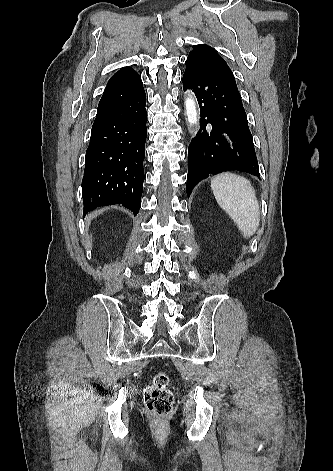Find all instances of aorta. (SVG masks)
<instances>
[{
    "instance_id": "aorta-1",
    "label": "aorta",
    "mask_w": 333,
    "mask_h": 471,
    "mask_svg": "<svg viewBox=\"0 0 333 471\" xmlns=\"http://www.w3.org/2000/svg\"><path fill=\"white\" fill-rule=\"evenodd\" d=\"M185 109L187 120L190 125L197 124L198 122V113L196 110L195 100L192 95H188L185 99Z\"/></svg>"
}]
</instances>
